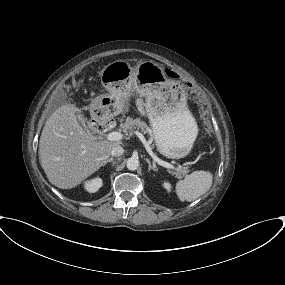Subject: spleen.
<instances>
[{
    "label": "spleen",
    "mask_w": 285,
    "mask_h": 285,
    "mask_svg": "<svg viewBox=\"0 0 285 285\" xmlns=\"http://www.w3.org/2000/svg\"><path fill=\"white\" fill-rule=\"evenodd\" d=\"M212 181L213 176L209 171H194L176 183V194L182 202L194 201L211 188Z\"/></svg>",
    "instance_id": "spleen-1"
}]
</instances>
